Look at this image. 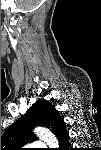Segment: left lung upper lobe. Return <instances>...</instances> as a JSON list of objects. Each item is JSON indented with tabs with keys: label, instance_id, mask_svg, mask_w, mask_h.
I'll return each instance as SVG.
<instances>
[{
	"label": "left lung upper lobe",
	"instance_id": "1",
	"mask_svg": "<svg viewBox=\"0 0 101 150\" xmlns=\"http://www.w3.org/2000/svg\"><path fill=\"white\" fill-rule=\"evenodd\" d=\"M35 126L48 127L57 138L66 131L65 122L58 111L49 102L39 100L2 135L1 146L6 150H15L34 141L36 138L31 129Z\"/></svg>",
	"mask_w": 101,
	"mask_h": 150
}]
</instances>
